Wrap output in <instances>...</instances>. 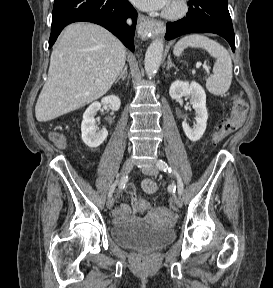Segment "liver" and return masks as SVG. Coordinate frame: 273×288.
Returning <instances> with one entry per match:
<instances>
[{
  "label": "liver",
  "mask_w": 273,
  "mask_h": 288,
  "mask_svg": "<svg viewBox=\"0 0 273 288\" xmlns=\"http://www.w3.org/2000/svg\"><path fill=\"white\" fill-rule=\"evenodd\" d=\"M126 54V47L105 28L68 25L52 51L36 119L53 120L105 95L123 70Z\"/></svg>",
  "instance_id": "1"
}]
</instances>
